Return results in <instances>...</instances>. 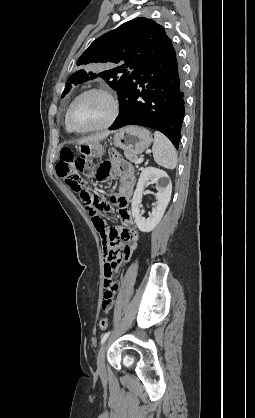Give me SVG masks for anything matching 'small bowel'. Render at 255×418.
Returning a JSON list of instances; mask_svg holds the SVG:
<instances>
[{"label":"small bowel","mask_w":255,"mask_h":418,"mask_svg":"<svg viewBox=\"0 0 255 418\" xmlns=\"http://www.w3.org/2000/svg\"><path fill=\"white\" fill-rule=\"evenodd\" d=\"M122 156L117 147L110 149L109 161L103 162L97 177L100 180L118 177L120 187L117 193L113 194L111 200L118 208V214L124 226L120 228H102L100 231L93 224L102 237L100 242L101 254L104 256V293L100 303V312L109 316L114 310V293L119 290V273L129 265L133 256H136L140 247V234L131 226V213L128 202L133 194L135 177L131 168L124 164ZM107 208V207H105Z\"/></svg>","instance_id":"c3829d8e"}]
</instances>
